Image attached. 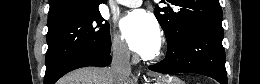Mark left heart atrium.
Here are the masks:
<instances>
[{
	"instance_id": "39dd6f15",
	"label": "left heart atrium",
	"mask_w": 260,
	"mask_h": 84,
	"mask_svg": "<svg viewBox=\"0 0 260 84\" xmlns=\"http://www.w3.org/2000/svg\"><path fill=\"white\" fill-rule=\"evenodd\" d=\"M120 30L130 48L148 58L157 53L161 44V31L156 20L142 9L124 16Z\"/></svg>"
}]
</instances>
